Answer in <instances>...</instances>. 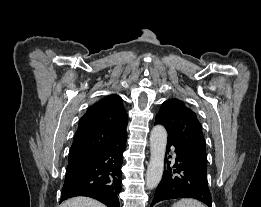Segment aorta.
Instances as JSON below:
<instances>
[{
	"label": "aorta",
	"instance_id": "obj_1",
	"mask_svg": "<svg viewBox=\"0 0 261 207\" xmlns=\"http://www.w3.org/2000/svg\"><path fill=\"white\" fill-rule=\"evenodd\" d=\"M167 143L166 129L161 125L153 127L150 134V161L146 172V187L155 188L161 181Z\"/></svg>",
	"mask_w": 261,
	"mask_h": 207
}]
</instances>
